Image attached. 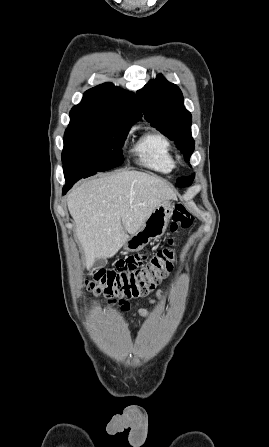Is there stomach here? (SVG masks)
<instances>
[{"mask_svg":"<svg viewBox=\"0 0 269 447\" xmlns=\"http://www.w3.org/2000/svg\"><path fill=\"white\" fill-rule=\"evenodd\" d=\"M172 212V202H169V200L161 202V204L153 210L152 214L146 218L140 229H138L136 233H131L126 243H123V249H125V251H139V249H143L151 239L161 237L170 222Z\"/></svg>","mask_w":269,"mask_h":447,"instance_id":"obj_1","label":"stomach"}]
</instances>
